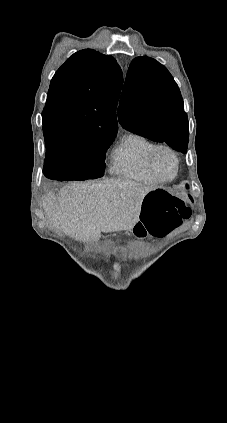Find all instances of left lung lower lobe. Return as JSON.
I'll return each mask as SVG.
<instances>
[{"label": "left lung lower lobe", "mask_w": 227, "mask_h": 423, "mask_svg": "<svg viewBox=\"0 0 227 423\" xmlns=\"http://www.w3.org/2000/svg\"><path fill=\"white\" fill-rule=\"evenodd\" d=\"M174 149L177 150V151H180L182 153H186V151H187V145L186 144H182L179 147H176Z\"/></svg>", "instance_id": "obj_1"}]
</instances>
